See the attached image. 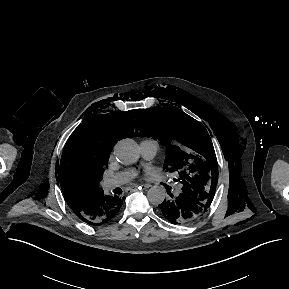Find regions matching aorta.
Returning <instances> with one entry per match:
<instances>
[{
    "label": "aorta",
    "mask_w": 289,
    "mask_h": 289,
    "mask_svg": "<svg viewBox=\"0 0 289 289\" xmlns=\"http://www.w3.org/2000/svg\"><path fill=\"white\" fill-rule=\"evenodd\" d=\"M114 155L120 163L132 164L140 157L139 145L133 139H121L114 146ZM147 196L150 203L159 205L164 201L166 191L162 186L155 185L148 190Z\"/></svg>",
    "instance_id": "obj_1"
}]
</instances>
